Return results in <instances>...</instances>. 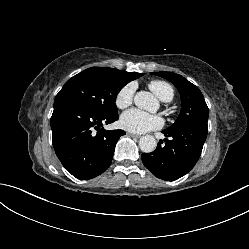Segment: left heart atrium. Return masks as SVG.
<instances>
[{
    "label": "left heart atrium",
    "instance_id": "left-heart-atrium-1",
    "mask_svg": "<svg viewBox=\"0 0 249 249\" xmlns=\"http://www.w3.org/2000/svg\"><path fill=\"white\" fill-rule=\"evenodd\" d=\"M120 124L127 131L144 133L160 128L163 120L158 115L149 114L140 109H131L122 114Z\"/></svg>",
    "mask_w": 249,
    "mask_h": 249
}]
</instances>
